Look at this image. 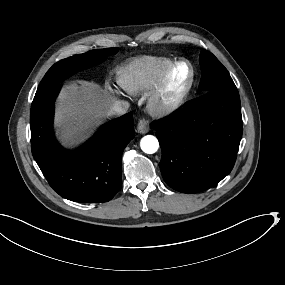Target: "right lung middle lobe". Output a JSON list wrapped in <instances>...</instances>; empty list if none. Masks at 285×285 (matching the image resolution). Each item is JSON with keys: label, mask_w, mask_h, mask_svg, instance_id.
<instances>
[{"label": "right lung middle lobe", "mask_w": 285, "mask_h": 285, "mask_svg": "<svg viewBox=\"0 0 285 285\" xmlns=\"http://www.w3.org/2000/svg\"><path fill=\"white\" fill-rule=\"evenodd\" d=\"M118 50V48L97 49L84 54L74 55L57 62L43 77L38 86L37 92L59 84L66 77L71 76L80 70L92 67L105 61L109 55L117 53Z\"/></svg>", "instance_id": "obj_1"}]
</instances>
